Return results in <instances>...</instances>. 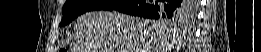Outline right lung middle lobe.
Listing matches in <instances>:
<instances>
[{
	"label": "right lung middle lobe",
	"mask_w": 261,
	"mask_h": 52,
	"mask_svg": "<svg viewBox=\"0 0 261 52\" xmlns=\"http://www.w3.org/2000/svg\"><path fill=\"white\" fill-rule=\"evenodd\" d=\"M115 3L113 0H67L63 6V18L59 26L69 24L79 15L93 10H101L109 5ZM186 10H191L190 2H185ZM159 21L167 22L168 24L181 23L183 17L178 15L176 17H158Z\"/></svg>",
	"instance_id": "1"
}]
</instances>
